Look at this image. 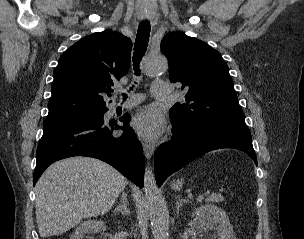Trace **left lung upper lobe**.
<instances>
[{"mask_svg":"<svg viewBox=\"0 0 304 239\" xmlns=\"http://www.w3.org/2000/svg\"><path fill=\"white\" fill-rule=\"evenodd\" d=\"M161 51L169 61L171 82L187 90L185 104L170 110L172 120L190 132L224 123L245 125L233 80L221 54L207 43L180 32L168 33Z\"/></svg>","mask_w":304,"mask_h":239,"instance_id":"left-lung-upper-lobe-1","label":"left lung upper lobe"}]
</instances>
